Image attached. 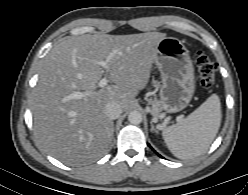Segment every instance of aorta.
<instances>
[{
    "instance_id": "obj_1",
    "label": "aorta",
    "mask_w": 248,
    "mask_h": 195,
    "mask_svg": "<svg viewBox=\"0 0 248 195\" xmlns=\"http://www.w3.org/2000/svg\"><path fill=\"white\" fill-rule=\"evenodd\" d=\"M128 121L133 125H138L142 122V114L139 111H132L128 115Z\"/></svg>"
}]
</instances>
